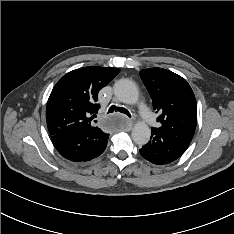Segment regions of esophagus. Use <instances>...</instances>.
<instances>
[{
	"label": "esophagus",
	"instance_id": "obj_1",
	"mask_svg": "<svg viewBox=\"0 0 234 234\" xmlns=\"http://www.w3.org/2000/svg\"><path fill=\"white\" fill-rule=\"evenodd\" d=\"M127 125H128V128L131 129L133 122L131 120H127Z\"/></svg>",
	"mask_w": 234,
	"mask_h": 234
}]
</instances>
